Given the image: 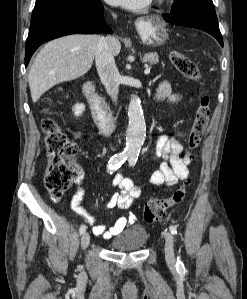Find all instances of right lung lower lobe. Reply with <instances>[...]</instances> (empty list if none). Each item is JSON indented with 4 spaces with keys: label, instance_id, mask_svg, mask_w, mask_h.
Returning <instances> with one entry per match:
<instances>
[{
    "label": "right lung lower lobe",
    "instance_id": "right-lung-lower-lobe-1",
    "mask_svg": "<svg viewBox=\"0 0 247 299\" xmlns=\"http://www.w3.org/2000/svg\"><path fill=\"white\" fill-rule=\"evenodd\" d=\"M75 33L112 34L105 24L100 0L64 6L32 22L25 46V66L41 44Z\"/></svg>",
    "mask_w": 247,
    "mask_h": 299
}]
</instances>
